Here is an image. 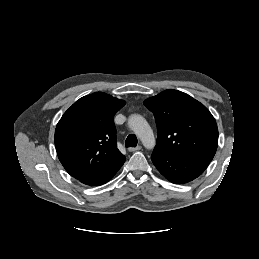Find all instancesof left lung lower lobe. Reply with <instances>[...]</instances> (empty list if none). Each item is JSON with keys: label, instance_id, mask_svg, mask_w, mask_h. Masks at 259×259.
Returning <instances> with one entry per match:
<instances>
[{"label": "left lung lower lobe", "instance_id": "1", "mask_svg": "<svg viewBox=\"0 0 259 259\" xmlns=\"http://www.w3.org/2000/svg\"><path fill=\"white\" fill-rule=\"evenodd\" d=\"M151 159L164 177L177 184L187 183L197 178L210 163L209 160L204 159L177 158L155 149Z\"/></svg>", "mask_w": 259, "mask_h": 259}]
</instances>
